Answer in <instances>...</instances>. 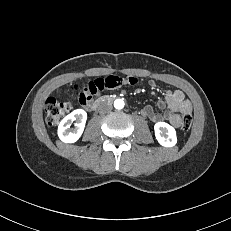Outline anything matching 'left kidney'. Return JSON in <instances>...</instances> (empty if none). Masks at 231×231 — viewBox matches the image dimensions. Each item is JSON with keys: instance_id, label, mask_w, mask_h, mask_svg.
<instances>
[{"instance_id": "1", "label": "left kidney", "mask_w": 231, "mask_h": 231, "mask_svg": "<svg viewBox=\"0 0 231 231\" xmlns=\"http://www.w3.org/2000/svg\"><path fill=\"white\" fill-rule=\"evenodd\" d=\"M157 141L164 147H173L177 142L175 129L165 122H157L154 125Z\"/></svg>"}]
</instances>
